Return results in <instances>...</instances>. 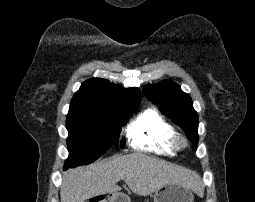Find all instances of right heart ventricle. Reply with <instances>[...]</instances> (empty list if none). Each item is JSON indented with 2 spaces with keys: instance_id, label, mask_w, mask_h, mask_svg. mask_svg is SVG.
Instances as JSON below:
<instances>
[{
  "instance_id": "e07e8e85",
  "label": "right heart ventricle",
  "mask_w": 255,
  "mask_h": 202,
  "mask_svg": "<svg viewBox=\"0 0 255 202\" xmlns=\"http://www.w3.org/2000/svg\"><path fill=\"white\" fill-rule=\"evenodd\" d=\"M174 127L154 108L141 111L128 125L126 134L134 148L163 155L176 152Z\"/></svg>"
}]
</instances>
